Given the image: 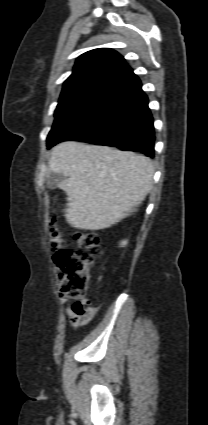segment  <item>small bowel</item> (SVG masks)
<instances>
[{
  "label": "small bowel",
  "mask_w": 208,
  "mask_h": 425,
  "mask_svg": "<svg viewBox=\"0 0 208 425\" xmlns=\"http://www.w3.org/2000/svg\"><path fill=\"white\" fill-rule=\"evenodd\" d=\"M60 302L67 305L66 312L69 322L74 328L87 325L95 317L98 310L97 307L90 305L89 300H87V305L81 309H78L77 302L70 304L67 297L61 296Z\"/></svg>",
  "instance_id": "1"
}]
</instances>
